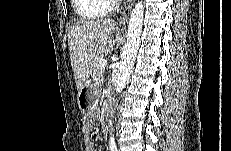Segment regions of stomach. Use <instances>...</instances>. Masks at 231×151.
Returning a JSON list of instances; mask_svg holds the SVG:
<instances>
[{
  "label": "stomach",
  "mask_w": 231,
  "mask_h": 151,
  "mask_svg": "<svg viewBox=\"0 0 231 151\" xmlns=\"http://www.w3.org/2000/svg\"><path fill=\"white\" fill-rule=\"evenodd\" d=\"M78 106L85 115H90L96 108L99 98V88L96 83L87 80L81 90L78 91Z\"/></svg>",
  "instance_id": "1"
}]
</instances>
